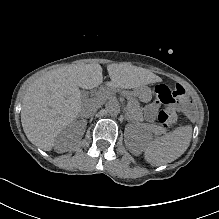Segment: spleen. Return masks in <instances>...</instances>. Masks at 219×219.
<instances>
[{"label":"spleen","instance_id":"1","mask_svg":"<svg viewBox=\"0 0 219 219\" xmlns=\"http://www.w3.org/2000/svg\"><path fill=\"white\" fill-rule=\"evenodd\" d=\"M192 138L191 127H181L175 132L146 142L142 145L147 161L154 165L172 162L180 157L188 148Z\"/></svg>","mask_w":219,"mask_h":219}]
</instances>
